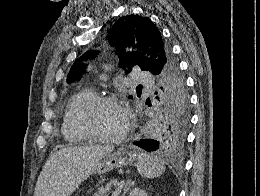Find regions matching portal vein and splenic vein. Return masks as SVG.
Listing matches in <instances>:
<instances>
[{"label": "portal vein and splenic vein", "mask_w": 260, "mask_h": 196, "mask_svg": "<svg viewBox=\"0 0 260 196\" xmlns=\"http://www.w3.org/2000/svg\"><path fill=\"white\" fill-rule=\"evenodd\" d=\"M121 188H123V182H120V186L116 187L112 196H119V194L121 193Z\"/></svg>", "instance_id": "obj_1"}]
</instances>
